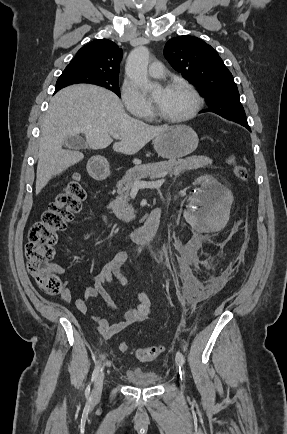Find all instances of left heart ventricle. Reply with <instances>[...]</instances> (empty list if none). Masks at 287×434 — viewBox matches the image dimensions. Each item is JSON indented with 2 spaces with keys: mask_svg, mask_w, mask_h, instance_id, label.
<instances>
[{
  "mask_svg": "<svg viewBox=\"0 0 287 434\" xmlns=\"http://www.w3.org/2000/svg\"><path fill=\"white\" fill-rule=\"evenodd\" d=\"M153 100L159 111L168 117H179L186 114L193 104L191 95L180 87L159 89Z\"/></svg>",
  "mask_w": 287,
  "mask_h": 434,
  "instance_id": "left-heart-ventricle-1",
  "label": "left heart ventricle"
}]
</instances>
